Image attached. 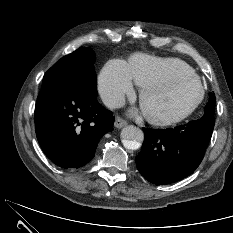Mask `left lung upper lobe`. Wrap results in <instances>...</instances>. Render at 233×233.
<instances>
[{"instance_id":"left-lung-upper-lobe-1","label":"left lung upper lobe","mask_w":233,"mask_h":233,"mask_svg":"<svg viewBox=\"0 0 233 233\" xmlns=\"http://www.w3.org/2000/svg\"><path fill=\"white\" fill-rule=\"evenodd\" d=\"M215 94L214 93H209V102L205 107V112L203 117L201 118L202 120L214 123V109H215Z\"/></svg>"}]
</instances>
